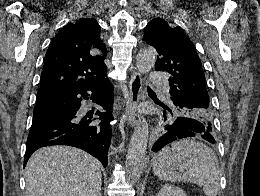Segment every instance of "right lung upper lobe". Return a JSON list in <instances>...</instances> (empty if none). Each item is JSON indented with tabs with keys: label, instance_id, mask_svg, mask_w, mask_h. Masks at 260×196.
<instances>
[{
	"label": "right lung upper lobe",
	"instance_id": "cb5924a9",
	"mask_svg": "<svg viewBox=\"0 0 260 196\" xmlns=\"http://www.w3.org/2000/svg\"><path fill=\"white\" fill-rule=\"evenodd\" d=\"M106 56L96 20L83 18L64 26L47 50L36 107L106 80Z\"/></svg>",
	"mask_w": 260,
	"mask_h": 196
}]
</instances>
